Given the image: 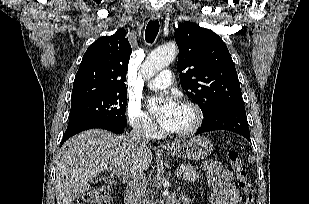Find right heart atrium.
Here are the masks:
<instances>
[{
  "mask_svg": "<svg viewBox=\"0 0 309 204\" xmlns=\"http://www.w3.org/2000/svg\"><path fill=\"white\" fill-rule=\"evenodd\" d=\"M127 112L130 124L135 131L146 137H152L156 134V125L141 109L138 102H130Z\"/></svg>",
  "mask_w": 309,
  "mask_h": 204,
  "instance_id": "right-heart-atrium-1",
  "label": "right heart atrium"
}]
</instances>
